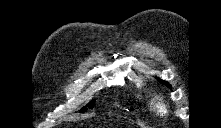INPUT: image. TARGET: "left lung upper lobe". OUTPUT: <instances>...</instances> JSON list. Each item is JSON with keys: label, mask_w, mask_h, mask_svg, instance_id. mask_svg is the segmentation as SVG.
<instances>
[{"label": "left lung upper lobe", "mask_w": 221, "mask_h": 128, "mask_svg": "<svg viewBox=\"0 0 221 128\" xmlns=\"http://www.w3.org/2000/svg\"><path fill=\"white\" fill-rule=\"evenodd\" d=\"M159 81L161 82V83H164V84H166L168 87H170L171 88V86L166 82V81H163V80H160L159 79Z\"/></svg>", "instance_id": "5c2ea615"}]
</instances>
